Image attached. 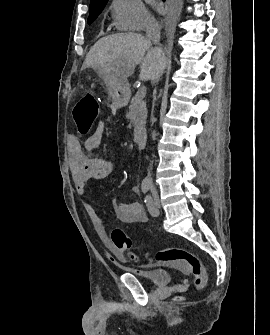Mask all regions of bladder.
Returning a JSON list of instances; mask_svg holds the SVG:
<instances>
[{
  "label": "bladder",
  "instance_id": "31cf9c89",
  "mask_svg": "<svg viewBox=\"0 0 270 335\" xmlns=\"http://www.w3.org/2000/svg\"><path fill=\"white\" fill-rule=\"evenodd\" d=\"M129 272L138 275L140 279L146 283H153L160 286H168L172 276V272L165 269Z\"/></svg>",
  "mask_w": 270,
  "mask_h": 335
}]
</instances>
